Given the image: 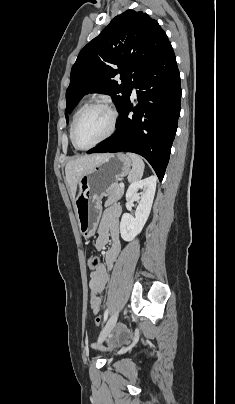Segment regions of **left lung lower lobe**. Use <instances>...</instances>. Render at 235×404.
<instances>
[{
	"label": "left lung lower lobe",
	"mask_w": 235,
	"mask_h": 404,
	"mask_svg": "<svg viewBox=\"0 0 235 404\" xmlns=\"http://www.w3.org/2000/svg\"><path fill=\"white\" fill-rule=\"evenodd\" d=\"M133 87L139 89L138 103L131 104L129 96L119 110L115 133L88 153H137L151 164L162 181L177 130L181 100L180 75L170 43L137 77Z\"/></svg>",
	"instance_id": "left-lung-lower-lobe-1"
}]
</instances>
